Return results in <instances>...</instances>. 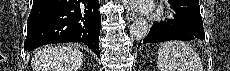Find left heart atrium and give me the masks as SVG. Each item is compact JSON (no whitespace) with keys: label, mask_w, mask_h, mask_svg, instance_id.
<instances>
[{"label":"left heart atrium","mask_w":230,"mask_h":71,"mask_svg":"<svg viewBox=\"0 0 230 71\" xmlns=\"http://www.w3.org/2000/svg\"><path fill=\"white\" fill-rule=\"evenodd\" d=\"M131 3H133V4H140V3H142V1H131Z\"/></svg>","instance_id":"left-heart-atrium-1"}]
</instances>
